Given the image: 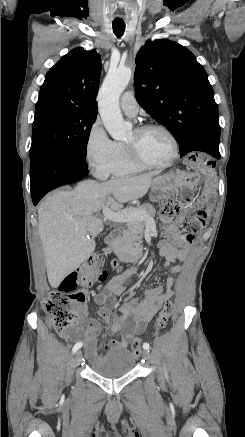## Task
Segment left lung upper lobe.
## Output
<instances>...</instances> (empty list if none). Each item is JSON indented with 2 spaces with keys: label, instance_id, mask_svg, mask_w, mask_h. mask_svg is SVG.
<instances>
[{
  "label": "left lung upper lobe",
  "instance_id": "left-lung-upper-lobe-1",
  "mask_svg": "<svg viewBox=\"0 0 245 437\" xmlns=\"http://www.w3.org/2000/svg\"><path fill=\"white\" fill-rule=\"evenodd\" d=\"M135 62L136 99L172 133L180 155L204 143L219 146V112L213 88L193 53L167 39L148 41Z\"/></svg>",
  "mask_w": 245,
  "mask_h": 437
}]
</instances>
